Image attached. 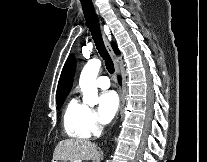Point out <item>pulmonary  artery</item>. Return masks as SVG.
Returning a JSON list of instances; mask_svg holds the SVG:
<instances>
[{"instance_id": "obj_1", "label": "pulmonary artery", "mask_w": 207, "mask_h": 162, "mask_svg": "<svg viewBox=\"0 0 207 162\" xmlns=\"http://www.w3.org/2000/svg\"><path fill=\"white\" fill-rule=\"evenodd\" d=\"M96 85L101 89H108L110 87L109 78L107 76L98 77Z\"/></svg>"}]
</instances>
